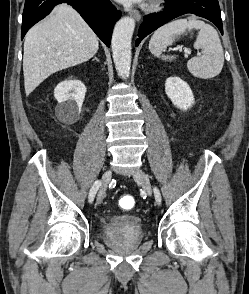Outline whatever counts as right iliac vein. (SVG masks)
<instances>
[{"label":"right iliac vein","instance_id":"63e3f726","mask_svg":"<svg viewBox=\"0 0 249 294\" xmlns=\"http://www.w3.org/2000/svg\"><path fill=\"white\" fill-rule=\"evenodd\" d=\"M111 177H112L111 171L106 170L102 176V184H101L100 190L97 195L98 204L102 203V201L106 195V191H107L108 185L110 183Z\"/></svg>","mask_w":249,"mask_h":294}]
</instances>
